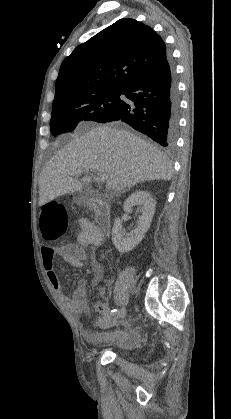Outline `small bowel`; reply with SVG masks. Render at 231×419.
I'll use <instances>...</instances> for the list:
<instances>
[{
  "label": "small bowel",
  "mask_w": 231,
  "mask_h": 419,
  "mask_svg": "<svg viewBox=\"0 0 231 419\" xmlns=\"http://www.w3.org/2000/svg\"><path fill=\"white\" fill-rule=\"evenodd\" d=\"M80 233L77 237V243H69L57 248L44 247L42 249L43 265L47 273L50 284L58 293L67 309L72 313H81L87 309L88 299L84 289L85 283L79 282L73 289L71 295H67L61 285L60 279L55 271V258L58 257L61 262L71 267H83L90 262V267L94 272V283H98L101 277V270L95 259V251L102 242V235L98 227L88 219L81 217L78 219ZM87 249L89 253H87ZM106 292L103 290L102 295ZM100 317L95 325L98 330L82 329L83 337L89 342H98L102 339L116 341L122 345L132 346L133 339L137 337L134 332L131 336L126 325L115 326L114 320L110 317L109 305L105 302L96 305Z\"/></svg>",
  "instance_id": "c3829d8e"
}]
</instances>
